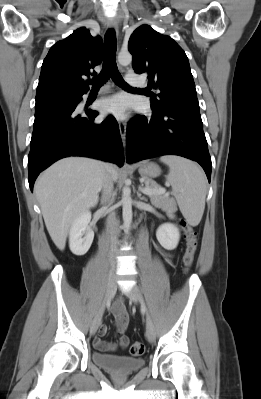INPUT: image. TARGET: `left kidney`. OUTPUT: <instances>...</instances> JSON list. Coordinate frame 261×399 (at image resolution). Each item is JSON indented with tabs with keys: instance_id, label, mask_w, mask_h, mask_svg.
<instances>
[{
	"instance_id": "1",
	"label": "left kidney",
	"mask_w": 261,
	"mask_h": 399,
	"mask_svg": "<svg viewBox=\"0 0 261 399\" xmlns=\"http://www.w3.org/2000/svg\"><path fill=\"white\" fill-rule=\"evenodd\" d=\"M169 218H174L173 212H167ZM158 242L166 250H174L180 240L179 229L171 223H165L158 227L156 231Z\"/></svg>"
}]
</instances>
